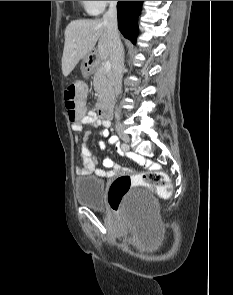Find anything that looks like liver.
I'll return each instance as SVG.
<instances>
[{
    "mask_svg": "<svg viewBox=\"0 0 233 295\" xmlns=\"http://www.w3.org/2000/svg\"><path fill=\"white\" fill-rule=\"evenodd\" d=\"M97 41L96 56L98 60L109 58L108 28L103 20H73L68 24L65 29L62 55V73L65 77L72 72L82 58L94 49Z\"/></svg>",
    "mask_w": 233,
    "mask_h": 295,
    "instance_id": "liver-1",
    "label": "liver"
}]
</instances>
